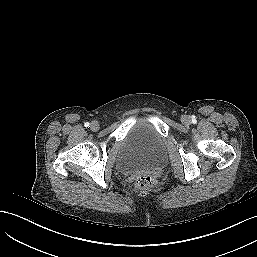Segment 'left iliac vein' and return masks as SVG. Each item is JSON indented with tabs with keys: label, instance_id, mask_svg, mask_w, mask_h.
Masks as SVG:
<instances>
[{
	"label": "left iliac vein",
	"instance_id": "left-iliac-vein-1",
	"mask_svg": "<svg viewBox=\"0 0 257 257\" xmlns=\"http://www.w3.org/2000/svg\"><path fill=\"white\" fill-rule=\"evenodd\" d=\"M181 121L185 125H189L191 123V118L187 115L182 116Z\"/></svg>",
	"mask_w": 257,
	"mask_h": 257
}]
</instances>
